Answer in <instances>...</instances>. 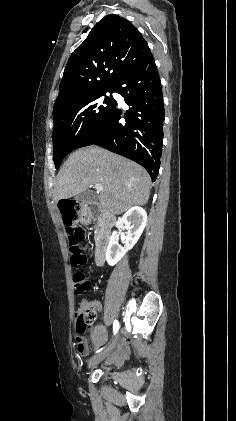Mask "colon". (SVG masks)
Returning <instances> with one entry per match:
<instances>
[{
    "mask_svg": "<svg viewBox=\"0 0 236 421\" xmlns=\"http://www.w3.org/2000/svg\"><path fill=\"white\" fill-rule=\"evenodd\" d=\"M64 223L67 227L70 262L74 267H81L86 263V255L81 243L84 241V230L76 223V211L70 205H63ZM75 293L79 296L83 295L91 288L89 277L82 271H76L73 275ZM96 319V311L90 305H82L76 314V328L78 336L76 337V348L81 356L88 352L86 340L83 334L91 326Z\"/></svg>",
    "mask_w": 236,
    "mask_h": 421,
    "instance_id": "5ec220e1",
    "label": "colon"
}]
</instances>
